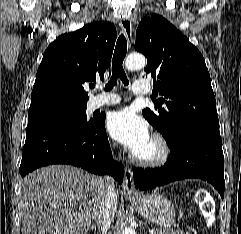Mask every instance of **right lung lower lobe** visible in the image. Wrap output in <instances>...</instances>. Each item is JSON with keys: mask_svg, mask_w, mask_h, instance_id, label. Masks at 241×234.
Returning <instances> with one entry per match:
<instances>
[{"mask_svg": "<svg viewBox=\"0 0 241 234\" xmlns=\"http://www.w3.org/2000/svg\"><path fill=\"white\" fill-rule=\"evenodd\" d=\"M104 123L105 117H98L90 125L44 122L27 126L21 176L51 164H70L98 175L109 174L121 184L124 169L113 164Z\"/></svg>", "mask_w": 241, "mask_h": 234, "instance_id": "obj_1", "label": "right lung lower lobe"}]
</instances>
